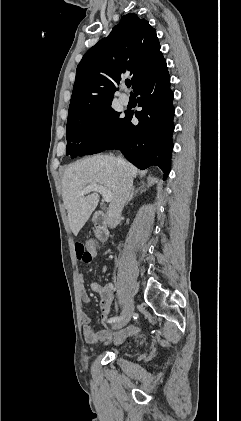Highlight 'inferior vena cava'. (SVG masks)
Wrapping results in <instances>:
<instances>
[{
  "label": "inferior vena cava",
  "mask_w": 241,
  "mask_h": 421,
  "mask_svg": "<svg viewBox=\"0 0 241 421\" xmlns=\"http://www.w3.org/2000/svg\"><path fill=\"white\" fill-rule=\"evenodd\" d=\"M117 161L120 167V183L107 210V221L111 228L117 225L133 185L132 177L127 171L126 162L120 156Z\"/></svg>",
  "instance_id": "inferior-vena-cava-1"
}]
</instances>
